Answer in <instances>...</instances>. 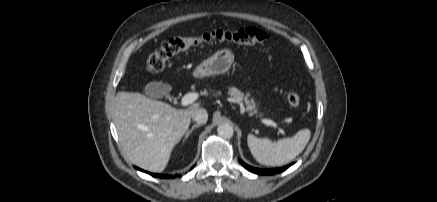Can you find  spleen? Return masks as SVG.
Here are the masks:
<instances>
[{
  "mask_svg": "<svg viewBox=\"0 0 437 202\" xmlns=\"http://www.w3.org/2000/svg\"><path fill=\"white\" fill-rule=\"evenodd\" d=\"M309 129L299 130L293 137L272 142L268 138L260 139L252 134L247 136V144L255 160L267 166H282L295 159L310 140Z\"/></svg>",
  "mask_w": 437,
  "mask_h": 202,
  "instance_id": "3e777b00",
  "label": "spleen"
}]
</instances>
